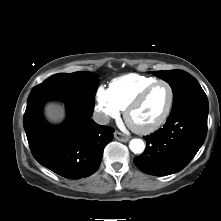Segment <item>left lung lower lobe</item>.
<instances>
[{
  "label": "left lung lower lobe",
  "mask_w": 221,
  "mask_h": 221,
  "mask_svg": "<svg viewBox=\"0 0 221 221\" xmlns=\"http://www.w3.org/2000/svg\"><path fill=\"white\" fill-rule=\"evenodd\" d=\"M208 99L204 91L173 104L163 128L145 136L144 153L134 158L144 173L165 176L182 170L202 146L207 134Z\"/></svg>",
  "instance_id": "0a47b994"
}]
</instances>
